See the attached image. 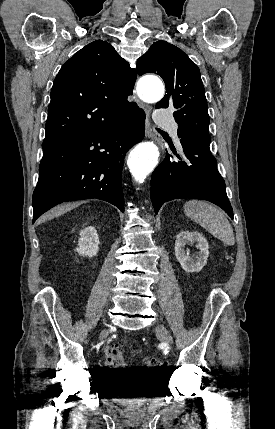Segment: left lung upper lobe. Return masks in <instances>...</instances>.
<instances>
[{"label": "left lung upper lobe", "mask_w": 275, "mask_h": 429, "mask_svg": "<svg viewBox=\"0 0 275 429\" xmlns=\"http://www.w3.org/2000/svg\"><path fill=\"white\" fill-rule=\"evenodd\" d=\"M139 75L156 73L166 86L156 108H174L179 138L195 136L210 143L209 115L205 89L197 65L178 47L157 41L137 61Z\"/></svg>", "instance_id": "obj_1"}]
</instances>
